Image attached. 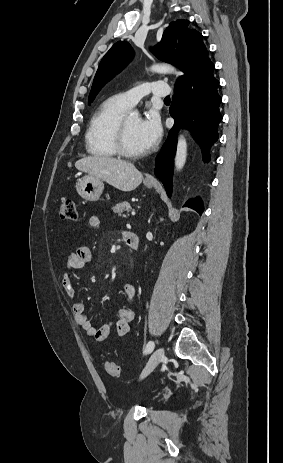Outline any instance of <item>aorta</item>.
<instances>
[{"label":"aorta","mask_w":283,"mask_h":463,"mask_svg":"<svg viewBox=\"0 0 283 463\" xmlns=\"http://www.w3.org/2000/svg\"><path fill=\"white\" fill-rule=\"evenodd\" d=\"M150 70L156 73H174L176 71L175 67L169 64H155ZM187 158V142L185 137L180 134L178 137L177 150L175 155V168L177 171H180L185 163Z\"/></svg>","instance_id":"1"}]
</instances>
